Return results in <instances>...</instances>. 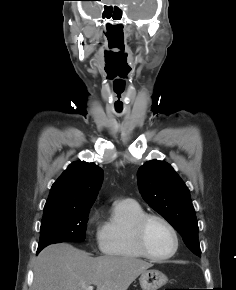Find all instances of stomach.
Listing matches in <instances>:
<instances>
[{"instance_id": "0dacf381", "label": "stomach", "mask_w": 236, "mask_h": 290, "mask_svg": "<svg viewBox=\"0 0 236 290\" xmlns=\"http://www.w3.org/2000/svg\"><path fill=\"white\" fill-rule=\"evenodd\" d=\"M165 274L158 270L150 269L141 273L139 283L142 290H158L167 283Z\"/></svg>"}]
</instances>
